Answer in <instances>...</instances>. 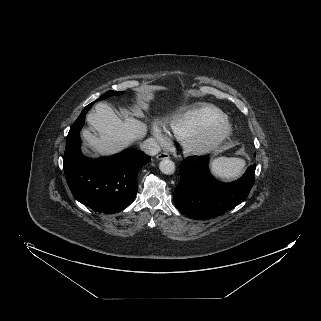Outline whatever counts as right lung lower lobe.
I'll use <instances>...</instances> for the list:
<instances>
[{
  "label": "right lung lower lobe",
  "instance_id": "right-lung-lower-lobe-1",
  "mask_svg": "<svg viewBox=\"0 0 321 321\" xmlns=\"http://www.w3.org/2000/svg\"><path fill=\"white\" fill-rule=\"evenodd\" d=\"M92 105L83 109L67 135L64 173L72 194L79 202L95 211L113 214L132 203L138 190L137 174L151 158L135 149H126L98 160L83 156L79 133Z\"/></svg>",
  "mask_w": 321,
  "mask_h": 321
}]
</instances>
